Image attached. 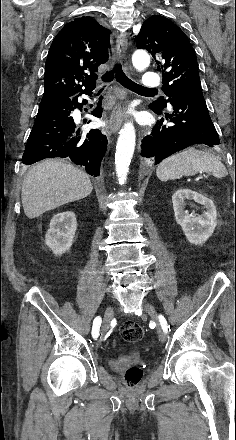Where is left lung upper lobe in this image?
<instances>
[{
	"instance_id": "left-lung-upper-lobe-1",
	"label": "left lung upper lobe",
	"mask_w": 236,
	"mask_h": 440,
	"mask_svg": "<svg viewBox=\"0 0 236 440\" xmlns=\"http://www.w3.org/2000/svg\"><path fill=\"white\" fill-rule=\"evenodd\" d=\"M136 46L146 49L162 72V90L168 99L160 97L150 107L163 110L171 98L184 90L201 87L195 51L186 34L172 21L153 15L144 21L136 37Z\"/></svg>"
}]
</instances>
